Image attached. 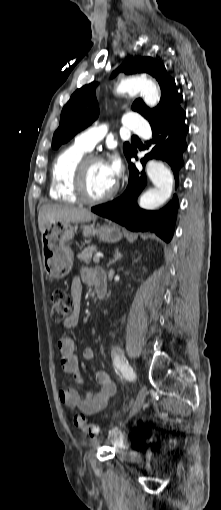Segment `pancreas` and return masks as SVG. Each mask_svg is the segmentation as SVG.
<instances>
[{
  "label": "pancreas",
  "instance_id": "obj_1",
  "mask_svg": "<svg viewBox=\"0 0 221 510\" xmlns=\"http://www.w3.org/2000/svg\"><path fill=\"white\" fill-rule=\"evenodd\" d=\"M97 250L95 245L87 246L86 248L81 251V253L77 254V258L86 264H89L91 262V258L93 253Z\"/></svg>",
  "mask_w": 221,
  "mask_h": 510
}]
</instances>
